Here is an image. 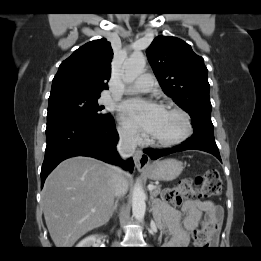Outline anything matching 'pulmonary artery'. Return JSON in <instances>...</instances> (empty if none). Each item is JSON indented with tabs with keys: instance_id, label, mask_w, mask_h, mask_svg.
Masks as SVG:
<instances>
[{
	"instance_id": "obj_1",
	"label": "pulmonary artery",
	"mask_w": 261,
	"mask_h": 261,
	"mask_svg": "<svg viewBox=\"0 0 261 261\" xmlns=\"http://www.w3.org/2000/svg\"><path fill=\"white\" fill-rule=\"evenodd\" d=\"M154 86V79L151 74L140 75L133 84L127 88L130 93H146Z\"/></svg>"
}]
</instances>
